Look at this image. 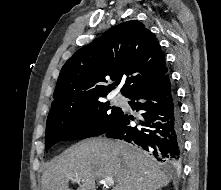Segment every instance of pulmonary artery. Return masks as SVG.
<instances>
[{"mask_svg":"<svg viewBox=\"0 0 221 190\" xmlns=\"http://www.w3.org/2000/svg\"><path fill=\"white\" fill-rule=\"evenodd\" d=\"M116 99L119 100V101H121V100H122V97H121L120 95H118V96L116 97Z\"/></svg>","mask_w":221,"mask_h":190,"instance_id":"e3ab8cb5","label":"pulmonary artery"}]
</instances>
